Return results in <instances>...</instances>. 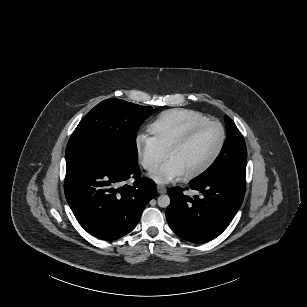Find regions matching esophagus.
<instances>
[{"label": "esophagus", "mask_w": 307, "mask_h": 307, "mask_svg": "<svg viewBox=\"0 0 307 307\" xmlns=\"http://www.w3.org/2000/svg\"><path fill=\"white\" fill-rule=\"evenodd\" d=\"M167 192L166 187L162 186V185H158L157 186V193L158 194H165Z\"/></svg>", "instance_id": "esophagus-1"}]
</instances>
